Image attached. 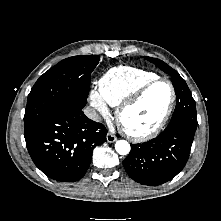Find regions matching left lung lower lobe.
<instances>
[{"label": "left lung lower lobe", "mask_w": 221, "mask_h": 221, "mask_svg": "<svg viewBox=\"0 0 221 221\" xmlns=\"http://www.w3.org/2000/svg\"><path fill=\"white\" fill-rule=\"evenodd\" d=\"M183 100L176 99L181 108ZM196 128L179 124L167 126L156 138L142 144H131L123 161L128 175L136 182L156 186L175 177L186 165Z\"/></svg>", "instance_id": "1"}]
</instances>
